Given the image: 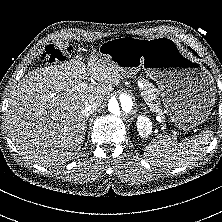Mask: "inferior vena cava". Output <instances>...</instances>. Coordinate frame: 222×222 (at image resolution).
<instances>
[{"instance_id": "602c4592", "label": "inferior vena cava", "mask_w": 222, "mask_h": 222, "mask_svg": "<svg viewBox=\"0 0 222 222\" xmlns=\"http://www.w3.org/2000/svg\"><path fill=\"white\" fill-rule=\"evenodd\" d=\"M98 107V104L94 100L85 101L81 113L83 116H90Z\"/></svg>"}]
</instances>
